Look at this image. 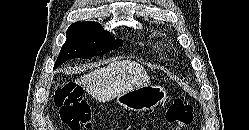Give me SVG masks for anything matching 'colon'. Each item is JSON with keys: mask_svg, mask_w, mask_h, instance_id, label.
Here are the masks:
<instances>
[{"mask_svg": "<svg viewBox=\"0 0 249 130\" xmlns=\"http://www.w3.org/2000/svg\"><path fill=\"white\" fill-rule=\"evenodd\" d=\"M55 105L60 116L71 130L92 127L90 107L83 98V90L72 83L58 87L54 92ZM193 120V106L184 97H178L166 112V122L177 128L188 125Z\"/></svg>", "mask_w": 249, "mask_h": 130, "instance_id": "5ec220e1", "label": "colon"}]
</instances>
